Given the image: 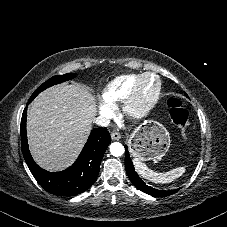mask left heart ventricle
Here are the masks:
<instances>
[{
	"label": "left heart ventricle",
	"instance_id": "obj_1",
	"mask_svg": "<svg viewBox=\"0 0 227 227\" xmlns=\"http://www.w3.org/2000/svg\"><path fill=\"white\" fill-rule=\"evenodd\" d=\"M154 89V83L151 80H147L144 82L142 91L145 96L149 95Z\"/></svg>",
	"mask_w": 227,
	"mask_h": 227
}]
</instances>
